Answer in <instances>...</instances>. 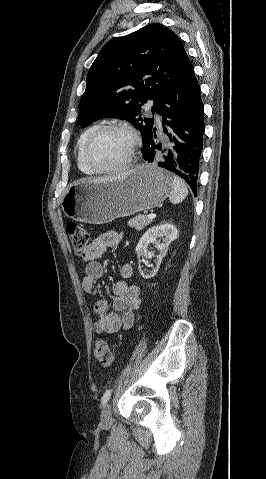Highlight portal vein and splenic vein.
Instances as JSON below:
<instances>
[{
    "instance_id": "portal-vein-and-splenic-vein-1",
    "label": "portal vein and splenic vein",
    "mask_w": 266,
    "mask_h": 479,
    "mask_svg": "<svg viewBox=\"0 0 266 479\" xmlns=\"http://www.w3.org/2000/svg\"><path fill=\"white\" fill-rule=\"evenodd\" d=\"M149 219H154L156 217V214L151 213L147 216Z\"/></svg>"
}]
</instances>
